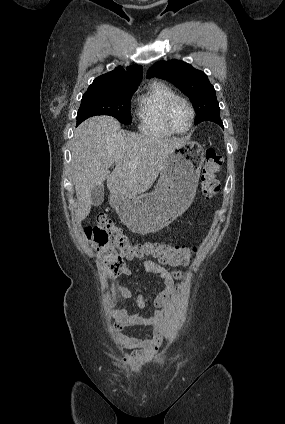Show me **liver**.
Here are the masks:
<instances>
[{
    "label": "liver",
    "instance_id": "1",
    "mask_svg": "<svg viewBox=\"0 0 285 424\" xmlns=\"http://www.w3.org/2000/svg\"><path fill=\"white\" fill-rule=\"evenodd\" d=\"M186 143L183 138L135 134L121 129L110 116L85 120L71 142V172L80 221L90 213L93 187L107 180L112 195L136 197L151 188L171 153ZM115 163L112 173L109 168Z\"/></svg>",
    "mask_w": 285,
    "mask_h": 424
}]
</instances>
